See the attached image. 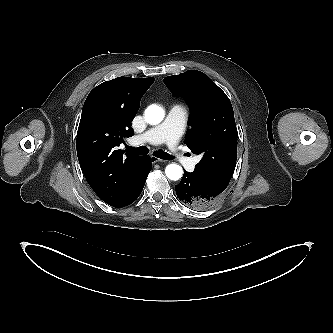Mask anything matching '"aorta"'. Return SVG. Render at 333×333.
I'll return each instance as SVG.
<instances>
[{"instance_id":"obj_1","label":"aorta","mask_w":333,"mask_h":333,"mask_svg":"<svg viewBox=\"0 0 333 333\" xmlns=\"http://www.w3.org/2000/svg\"><path fill=\"white\" fill-rule=\"evenodd\" d=\"M165 116V111L158 105L152 104L145 110V118L149 124H159ZM166 176L173 181L182 177L183 169L180 165L169 164L165 169Z\"/></svg>"}]
</instances>
